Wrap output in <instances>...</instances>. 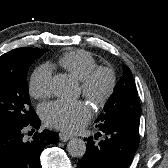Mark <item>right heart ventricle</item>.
Returning <instances> with one entry per match:
<instances>
[{
  "label": "right heart ventricle",
  "instance_id": "e07e8e85",
  "mask_svg": "<svg viewBox=\"0 0 168 168\" xmlns=\"http://www.w3.org/2000/svg\"><path fill=\"white\" fill-rule=\"evenodd\" d=\"M58 64L79 80H82L97 67L95 57L85 50H73L63 54L58 59Z\"/></svg>",
  "mask_w": 168,
  "mask_h": 168
}]
</instances>
